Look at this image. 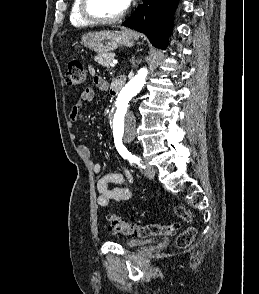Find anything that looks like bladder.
<instances>
[{
  "mask_svg": "<svg viewBox=\"0 0 259 294\" xmlns=\"http://www.w3.org/2000/svg\"><path fill=\"white\" fill-rule=\"evenodd\" d=\"M150 240H142V239H130L123 243L124 247L128 249H133L140 247L146 243H148Z\"/></svg>",
  "mask_w": 259,
  "mask_h": 294,
  "instance_id": "1",
  "label": "bladder"
}]
</instances>
